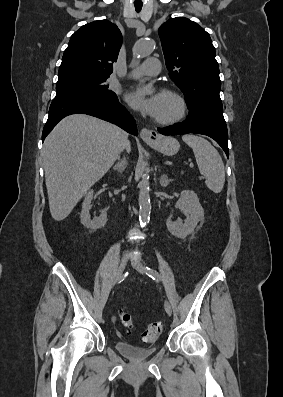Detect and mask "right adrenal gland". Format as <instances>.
I'll return each mask as SVG.
<instances>
[{
    "label": "right adrenal gland",
    "mask_w": 283,
    "mask_h": 397,
    "mask_svg": "<svg viewBox=\"0 0 283 397\" xmlns=\"http://www.w3.org/2000/svg\"><path fill=\"white\" fill-rule=\"evenodd\" d=\"M127 165L126 158H123L120 162H118L116 165L113 166V169L116 170L119 173H122Z\"/></svg>",
    "instance_id": "1"
}]
</instances>
